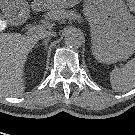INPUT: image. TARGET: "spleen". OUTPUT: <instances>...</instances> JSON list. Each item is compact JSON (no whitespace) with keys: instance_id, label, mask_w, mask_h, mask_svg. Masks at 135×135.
Wrapping results in <instances>:
<instances>
[{"instance_id":"obj_1","label":"spleen","mask_w":135,"mask_h":135,"mask_svg":"<svg viewBox=\"0 0 135 135\" xmlns=\"http://www.w3.org/2000/svg\"><path fill=\"white\" fill-rule=\"evenodd\" d=\"M110 83L114 90L129 91L135 87V58L128 61L124 67L115 68L110 74Z\"/></svg>"}]
</instances>
